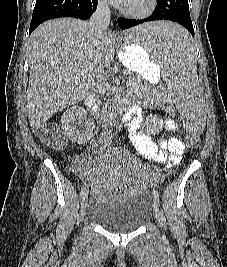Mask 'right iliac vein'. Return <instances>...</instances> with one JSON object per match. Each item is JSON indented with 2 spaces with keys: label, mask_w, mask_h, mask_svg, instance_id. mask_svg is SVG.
<instances>
[{
  "label": "right iliac vein",
  "mask_w": 227,
  "mask_h": 267,
  "mask_svg": "<svg viewBox=\"0 0 227 267\" xmlns=\"http://www.w3.org/2000/svg\"><path fill=\"white\" fill-rule=\"evenodd\" d=\"M87 205H88V198L87 196H84L83 200H82V204H81V217L83 218L86 214V210H87Z\"/></svg>",
  "instance_id": "63e3f726"
}]
</instances>
